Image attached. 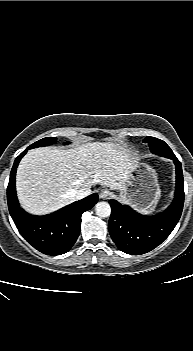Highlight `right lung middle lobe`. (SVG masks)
<instances>
[{"instance_id": "obj_1", "label": "right lung middle lobe", "mask_w": 193, "mask_h": 351, "mask_svg": "<svg viewBox=\"0 0 193 351\" xmlns=\"http://www.w3.org/2000/svg\"><path fill=\"white\" fill-rule=\"evenodd\" d=\"M55 142H56V138L55 137H46V138H43V139L33 143L27 149L43 147V146L51 145V144H53ZM68 143L69 142H65V144H68Z\"/></svg>"}]
</instances>
